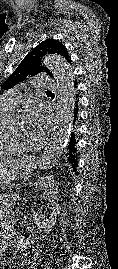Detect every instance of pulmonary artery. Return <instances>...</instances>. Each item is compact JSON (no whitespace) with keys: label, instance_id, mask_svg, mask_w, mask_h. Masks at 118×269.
I'll return each mask as SVG.
<instances>
[{"label":"pulmonary artery","instance_id":"obj_1","mask_svg":"<svg viewBox=\"0 0 118 269\" xmlns=\"http://www.w3.org/2000/svg\"><path fill=\"white\" fill-rule=\"evenodd\" d=\"M33 84L38 89H53L56 87L55 81L47 76H37L33 80ZM20 97L21 92L18 88L11 89L0 96V107L13 111Z\"/></svg>","mask_w":118,"mask_h":269}]
</instances>
